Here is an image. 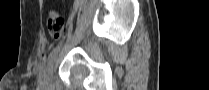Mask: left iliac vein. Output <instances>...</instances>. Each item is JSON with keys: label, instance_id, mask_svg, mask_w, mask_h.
<instances>
[{"label": "left iliac vein", "instance_id": "1", "mask_svg": "<svg viewBox=\"0 0 209 90\" xmlns=\"http://www.w3.org/2000/svg\"><path fill=\"white\" fill-rule=\"evenodd\" d=\"M53 71H54V63H52V65L50 66L48 74L42 78V85L44 86L48 85L50 77L53 74Z\"/></svg>", "mask_w": 209, "mask_h": 90}]
</instances>
